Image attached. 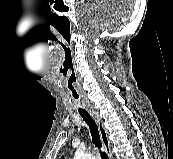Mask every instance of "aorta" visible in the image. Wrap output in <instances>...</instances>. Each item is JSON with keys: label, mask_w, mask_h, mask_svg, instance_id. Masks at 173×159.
I'll use <instances>...</instances> for the list:
<instances>
[{"label": "aorta", "mask_w": 173, "mask_h": 159, "mask_svg": "<svg viewBox=\"0 0 173 159\" xmlns=\"http://www.w3.org/2000/svg\"><path fill=\"white\" fill-rule=\"evenodd\" d=\"M74 159H97L94 154H88L83 151H77L75 153Z\"/></svg>", "instance_id": "obj_1"}]
</instances>
